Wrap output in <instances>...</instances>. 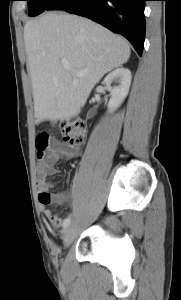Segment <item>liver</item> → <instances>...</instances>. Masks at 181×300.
Masks as SVG:
<instances>
[{
	"label": "liver",
	"instance_id": "6515ba94",
	"mask_svg": "<svg viewBox=\"0 0 181 300\" xmlns=\"http://www.w3.org/2000/svg\"><path fill=\"white\" fill-rule=\"evenodd\" d=\"M24 41L36 124L75 117L96 83L130 57L124 38L89 19L61 12L28 21ZM80 71L86 74L74 75Z\"/></svg>",
	"mask_w": 181,
	"mask_h": 300
}]
</instances>
